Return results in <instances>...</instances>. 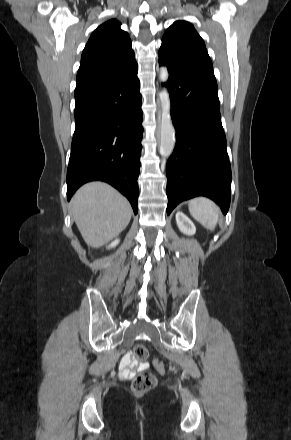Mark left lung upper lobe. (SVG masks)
Masks as SVG:
<instances>
[{"label":"left lung upper lobe","mask_w":291,"mask_h":440,"mask_svg":"<svg viewBox=\"0 0 291 440\" xmlns=\"http://www.w3.org/2000/svg\"><path fill=\"white\" fill-rule=\"evenodd\" d=\"M158 55L175 67L215 77L203 39L186 21H176L168 28Z\"/></svg>","instance_id":"left-lung-upper-lobe-1"}]
</instances>
